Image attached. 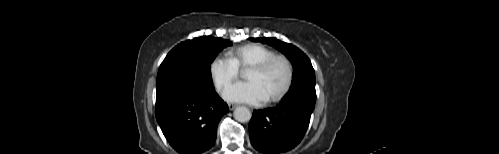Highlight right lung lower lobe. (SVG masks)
<instances>
[{
    "label": "right lung lower lobe",
    "instance_id": "98d812e1",
    "mask_svg": "<svg viewBox=\"0 0 499 154\" xmlns=\"http://www.w3.org/2000/svg\"><path fill=\"white\" fill-rule=\"evenodd\" d=\"M227 112V104L214 88L178 86L156 92L157 122L180 154L209 150L216 140L218 122Z\"/></svg>",
    "mask_w": 499,
    "mask_h": 154
}]
</instances>
